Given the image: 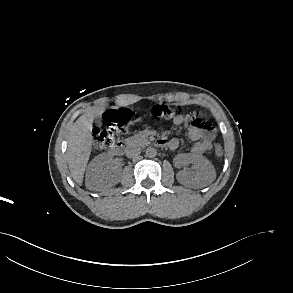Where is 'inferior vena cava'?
Masks as SVG:
<instances>
[{
	"instance_id": "obj_1",
	"label": "inferior vena cava",
	"mask_w": 293,
	"mask_h": 293,
	"mask_svg": "<svg viewBox=\"0 0 293 293\" xmlns=\"http://www.w3.org/2000/svg\"><path fill=\"white\" fill-rule=\"evenodd\" d=\"M141 153V149L138 148V147H135V148H131L129 149L127 152H126V156L127 157H134V156H137Z\"/></svg>"
}]
</instances>
